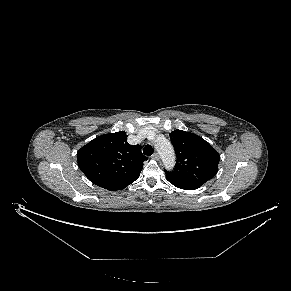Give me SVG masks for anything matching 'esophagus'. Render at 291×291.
<instances>
[{
	"instance_id": "esophagus-1",
	"label": "esophagus",
	"mask_w": 291,
	"mask_h": 291,
	"mask_svg": "<svg viewBox=\"0 0 291 291\" xmlns=\"http://www.w3.org/2000/svg\"><path fill=\"white\" fill-rule=\"evenodd\" d=\"M152 158L154 159V160H160V156H159V154L158 153H154L153 155H152Z\"/></svg>"
}]
</instances>
